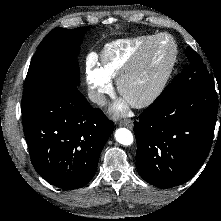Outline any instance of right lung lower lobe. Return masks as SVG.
Instances as JSON below:
<instances>
[{"label":"right lung lower lobe","mask_w":221,"mask_h":221,"mask_svg":"<svg viewBox=\"0 0 221 221\" xmlns=\"http://www.w3.org/2000/svg\"><path fill=\"white\" fill-rule=\"evenodd\" d=\"M22 123L35 170L50 184L67 190L92 179L114 129V123L68 82L32 102L22 111Z\"/></svg>","instance_id":"1"}]
</instances>
